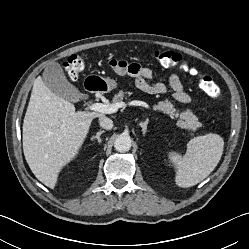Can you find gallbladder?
<instances>
[{"mask_svg":"<svg viewBox=\"0 0 249 249\" xmlns=\"http://www.w3.org/2000/svg\"><path fill=\"white\" fill-rule=\"evenodd\" d=\"M45 85L57 96L76 102L80 99V92L66 78L60 64L48 65L42 75Z\"/></svg>","mask_w":249,"mask_h":249,"instance_id":"gallbladder-1","label":"gallbladder"}]
</instances>
